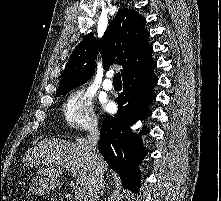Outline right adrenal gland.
Returning <instances> with one entry per match:
<instances>
[{"label":"right adrenal gland","instance_id":"1","mask_svg":"<svg viewBox=\"0 0 221 201\" xmlns=\"http://www.w3.org/2000/svg\"><path fill=\"white\" fill-rule=\"evenodd\" d=\"M105 190V185H103L102 190H101V195L104 193Z\"/></svg>","mask_w":221,"mask_h":201}]
</instances>
